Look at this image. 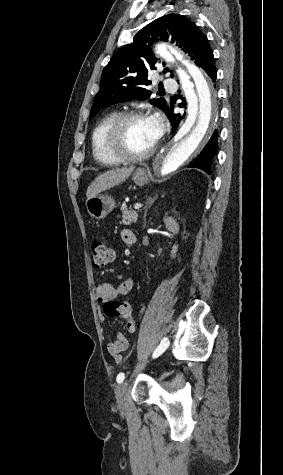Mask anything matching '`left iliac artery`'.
Segmentation results:
<instances>
[{"label": "left iliac artery", "instance_id": "obj_1", "mask_svg": "<svg viewBox=\"0 0 283 475\" xmlns=\"http://www.w3.org/2000/svg\"><path fill=\"white\" fill-rule=\"evenodd\" d=\"M168 346H169V341L166 337H164L161 343L159 344V346L154 351L153 358H157L158 356H160L167 349ZM124 378H125L124 373H119L116 380L118 383H122Z\"/></svg>", "mask_w": 283, "mask_h": 475}]
</instances>
